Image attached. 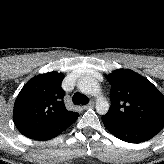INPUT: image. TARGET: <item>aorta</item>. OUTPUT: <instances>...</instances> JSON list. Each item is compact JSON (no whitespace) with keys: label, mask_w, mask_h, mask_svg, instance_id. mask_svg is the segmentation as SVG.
<instances>
[{"label":"aorta","mask_w":164,"mask_h":164,"mask_svg":"<svg viewBox=\"0 0 164 164\" xmlns=\"http://www.w3.org/2000/svg\"><path fill=\"white\" fill-rule=\"evenodd\" d=\"M79 90L87 95L95 96L96 101V111L98 114L104 115L109 110V103L106 98L101 93V88L98 82L91 77H84L78 82Z\"/></svg>","instance_id":"obj_1"}]
</instances>
